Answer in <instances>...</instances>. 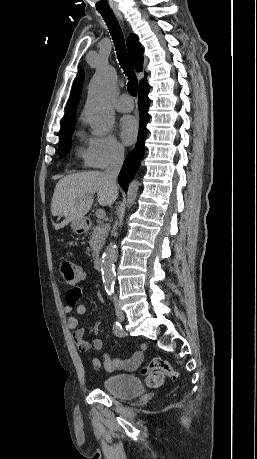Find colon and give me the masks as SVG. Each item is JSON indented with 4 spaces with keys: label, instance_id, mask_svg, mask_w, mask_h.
<instances>
[{
    "label": "colon",
    "instance_id": "colon-1",
    "mask_svg": "<svg viewBox=\"0 0 257 459\" xmlns=\"http://www.w3.org/2000/svg\"><path fill=\"white\" fill-rule=\"evenodd\" d=\"M60 274L67 284H75L83 278L84 272L78 264L63 261L60 264ZM140 373L145 377L146 385L152 388L160 387L166 376L172 379L178 377L177 371L162 358H153L141 369Z\"/></svg>",
    "mask_w": 257,
    "mask_h": 459
}]
</instances>
